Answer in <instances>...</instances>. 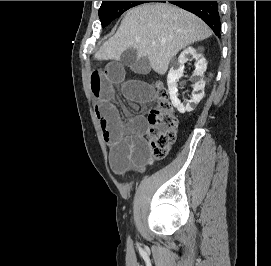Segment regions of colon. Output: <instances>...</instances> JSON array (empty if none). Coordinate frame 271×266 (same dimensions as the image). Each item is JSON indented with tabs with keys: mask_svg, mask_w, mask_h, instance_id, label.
I'll return each instance as SVG.
<instances>
[{
	"mask_svg": "<svg viewBox=\"0 0 271 266\" xmlns=\"http://www.w3.org/2000/svg\"><path fill=\"white\" fill-rule=\"evenodd\" d=\"M155 87L158 101L149 114V150L153 157L164 158L176 140L178 120L167 90L160 82Z\"/></svg>",
	"mask_w": 271,
	"mask_h": 266,
	"instance_id": "1",
	"label": "colon"
}]
</instances>
